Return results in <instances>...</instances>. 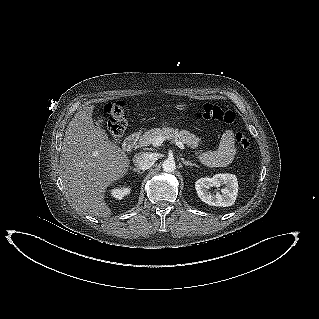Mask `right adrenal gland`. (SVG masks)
Listing matches in <instances>:
<instances>
[{
	"label": "right adrenal gland",
	"instance_id": "right-adrenal-gland-1",
	"mask_svg": "<svg viewBox=\"0 0 319 319\" xmlns=\"http://www.w3.org/2000/svg\"><path fill=\"white\" fill-rule=\"evenodd\" d=\"M132 171L137 172L138 174H143V172H141L139 169L137 168H133Z\"/></svg>",
	"mask_w": 319,
	"mask_h": 319
}]
</instances>
